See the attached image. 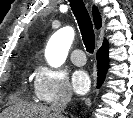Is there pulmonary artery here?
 Listing matches in <instances>:
<instances>
[{
  "label": "pulmonary artery",
  "instance_id": "e3ab8cb5",
  "mask_svg": "<svg viewBox=\"0 0 133 118\" xmlns=\"http://www.w3.org/2000/svg\"><path fill=\"white\" fill-rule=\"evenodd\" d=\"M70 58L71 61L77 66H82L86 62L85 53L82 49L79 48L72 51Z\"/></svg>",
  "mask_w": 133,
  "mask_h": 118
}]
</instances>
